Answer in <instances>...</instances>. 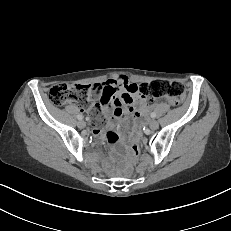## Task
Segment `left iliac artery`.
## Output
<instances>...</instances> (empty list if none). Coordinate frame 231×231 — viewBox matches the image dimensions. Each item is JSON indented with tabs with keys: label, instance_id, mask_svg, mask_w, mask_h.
<instances>
[{
	"label": "left iliac artery",
	"instance_id": "left-iliac-artery-1",
	"mask_svg": "<svg viewBox=\"0 0 231 231\" xmlns=\"http://www.w3.org/2000/svg\"><path fill=\"white\" fill-rule=\"evenodd\" d=\"M151 117H152V118H155V117H156V113L152 112V113H151Z\"/></svg>",
	"mask_w": 231,
	"mask_h": 231
}]
</instances>
